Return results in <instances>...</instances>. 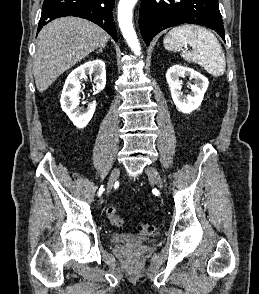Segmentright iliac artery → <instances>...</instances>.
Wrapping results in <instances>:
<instances>
[{
	"label": "right iliac artery",
	"instance_id": "right-iliac-artery-1",
	"mask_svg": "<svg viewBox=\"0 0 259 294\" xmlns=\"http://www.w3.org/2000/svg\"><path fill=\"white\" fill-rule=\"evenodd\" d=\"M103 191H104V188H103V186H101L98 194L101 195Z\"/></svg>",
	"mask_w": 259,
	"mask_h": 294
}]
</instances>
